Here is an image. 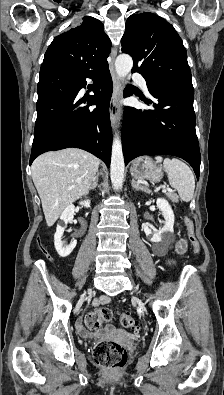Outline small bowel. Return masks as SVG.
<instances>
[{
    "instance_id": "obj_1",
    "label": "small bowel",
    "mask_w": 224,
    "mask_h": 395,
    "mask_svg": "<svg viewBox=\"0 0 224 395\" xmlns=\"http://www.w3.org/2000/svg\"><path fill=\"white\" fill-rule=\"evenodd\" d=\"M186 247H187V243H186L185 239L181 238L175 244V251L179 254L184 253L186 250ZM109 300H110L109 297L103 296V297L99 298L98 302L103 303V302H107ZM76 327H77V330L80 335L85 336V337L90 335L88 333V331L84 328V326L82 324V319L77 320Z\"/></svg>"
}]
</instances>
